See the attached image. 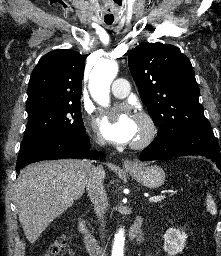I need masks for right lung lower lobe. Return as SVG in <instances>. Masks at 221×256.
Instances as JSON below:
<instances>
[{
    "label": "right lung lower lobe",
    "instance_id": "98d812e1",
    "mask_svg": "<svg viewBox=\"0 0 221 256\" xmlns=\"http://www.w3.org/2000/svg\"><path fill=\"white\" fill-rule=\"evenodd\" d=\"M86 132H70L51 134L39 138L31 144L20 148L16 170L29 163L51 159L89 158L99 159L103 154L90 151V140Z\"/></svg>",
    "mask_w": 221,
    "mask_h": 256
}]
</instances>
